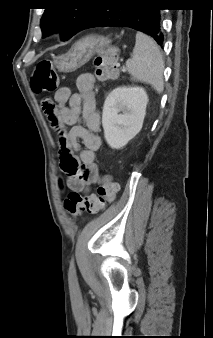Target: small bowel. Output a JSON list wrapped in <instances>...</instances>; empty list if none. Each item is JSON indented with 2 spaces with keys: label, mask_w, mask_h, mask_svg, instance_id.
I'll return each instance as SVG.
<instances>
[{
  "label": "small bowel",
  "mask_w": 213,
  "mask_h": 338,
  "mask_svg": "<svg viewBox=\"0 0 213 338\" xmlns=\"http://www.w3.org/2000/svg\"><path fill=\"white\" fill-rule=\"evenodd\" d=\"M76 86L78 92L73 94L68 87L59 88L54 94V102L44 106H52L53 115L61 126L69 127L61 145L70 149L72 155L81 162V168L68 175V186L72 191L86 194L98 175L95 152L101 144L97 135L100 114L96 107L94 77L82 74L76 79Z\"/></svg>",
  "instance_id": "small-bowel-1"
}]
</instances>
